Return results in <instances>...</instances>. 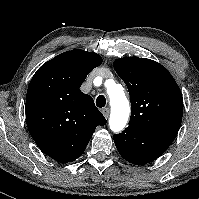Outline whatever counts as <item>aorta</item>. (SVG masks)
I'll return each instance as SVG.
<instances>
[{
  "instance_id": "1",
  "label": "aorta",
  "mask_w": 199,
  "mask_h": 199,
  "mask_svg": "<svg viewBox=\"0 0 199 199\" xmlns=\"http://www.w3.org/2000/svg\"><path fill=\"white\" fill-rule=\"evenodd\" d=\"M108 81L109 84L107 86V91L111 105L109 125L113 132H120L128 121L130 105L128 99L125 96L124 88L122 85L116 83L112 79Z\"/></svg>"
}]
</instances>
